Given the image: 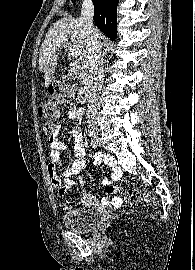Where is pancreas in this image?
<instances>
[{
  "label": "pancreas",
  "instance_id": "cf45deb5",
  "mask_svg": "<svg viewBox=\"0 0 195 270\" xmlns=\"http://www.w3.org/2000/svg\"><path fill=\"white\" fill-rule=\"evenodd\" d=\"M76 74L78 75V78L81 79V80H86V71L85 69L82 68L81 65H77L76 66Z\"/></svg>",
  "mask_w": 195,
  "mask_h": 270
}]
</instances>
